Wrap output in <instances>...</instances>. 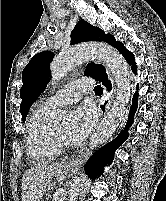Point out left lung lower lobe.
I'll use <instances>...</instances> for the list:
<instances>
[{"label":"left lung lower lobe","instance_id":"left-lung-lower-lobe-1","mask_svg":"<svg viewBox=\"0 0 166 201\" xmlns=\"http://www.w3.org/2000/svg\"><path fill=\"white\" fill-rule=\"evenodd\" d=\"M121 54L124 56L127 62L130 65H132L131 68L133 72L136 74L137 67L135 64L133 53L128 51L126 48H124L121 51ZM96 79L102 82L103 85H105L108 90L111 89V84L107 78V75H104ZM137 100H138V92H136L133 96V100H132L133 104L130 108L128 122L125 129L121 131V133L117 136L116 139H114L110 143L100 148L86 163V166H85L86 174L90 178L95 179L101 174H103L104 166L110 165L112 163L116 149H118V147L121 146L122 143L128 138L127 129H129V127L132 125L134 121V113L137 109Z\"/></svg>","mask_w":166,"mask_h":201}]
</instances>
